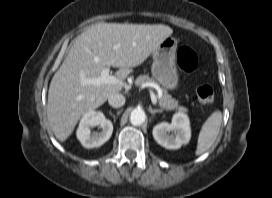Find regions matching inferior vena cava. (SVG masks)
<instances>
[{
  "label": "inferior vena cava",
  "instance_id": "obj_1",
  "mask_svg": "<svg viewBox=\"0 0 272 198\" xmlns=\"http://www.w3.org/2000/svg\"><path fill=\"white\" fill-rule=\"evenodd\" d=\"M108 103L114 108H120L125 104V97L120 93L111 94L108 97Z\"/></svg>",
  "mask_w": 272,
  "mask_h": 198
}]
</instances>
